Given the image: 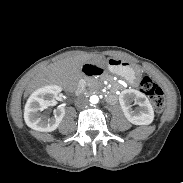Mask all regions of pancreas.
Instances as JSON below:
<instances>
[{
  "instance_id": "cf45deb5",
  "label": "pancreas",
  "mask_w": 183,
  "mask_h": 183,
  "mask_svg": "<svg viewBox=\"0 0 183 183\" xmlns=\"http://www.w3.org/2000/svg\"><path fill=\"white\" fill-rule=\"evenodd\" d=\"M97 84V80H90V82H89V85L90 86H95Z\"/></svg>"
}]
</instances>
